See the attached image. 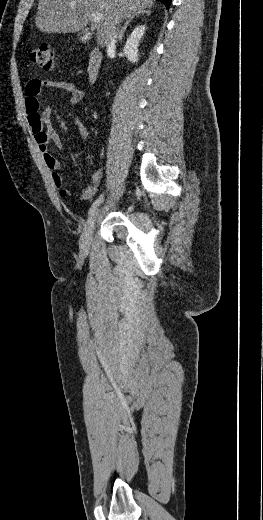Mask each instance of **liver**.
I'll return each instance as SVG.
<instances>
[{
	"instance_id": "1",
	"label": "liver",
	"mask_w": 263,
	"mask_h": 520,
	"mask_svg": "<svg viewBox=\"0 0 263 520\" xmlns=\"http://www.w3.org/2000/svg\"><path fill=\"white\" fill-rule=\"evenodd\" d=\"M155 0H39L36 27L44 33H74L83 30L92 12L101 14L98 42H109L116 21L146 11Z\"/></svg>"
}]
</instances>
